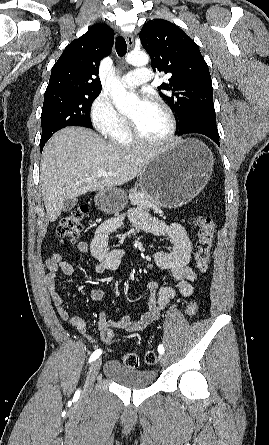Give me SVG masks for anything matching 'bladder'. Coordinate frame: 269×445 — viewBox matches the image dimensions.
<instances>
[{"label":"bladder","mask_w":269,"mask_h":445,"mask_svg":"<svg viewBox=\"0 0 269 445\" xmlns=\"http://www.w3.org/2000/svg\"><path fill=\"white\" fill-rule=\"evenodd\" d=\"M104 374L117 384L129 389H145L153 385L157 373L152 369H133L118 360H109L104 365Z\"/></svg>","instance_id":"1"}]
</instances>
